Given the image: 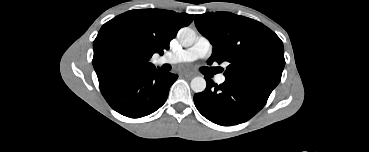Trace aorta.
<instances>
[{"instance_id": "1", "label": "aorta", "mask_w": 369, "mask_h": 152, "mask_svg": "<svg viewBox=\"0 0 369 152\" xmlns=\"http://www.w3.org/2000/svg\"><path fill=\"white\" fill-rule=\"evenodd\" d=\"M177 37L183 46L189 47L194 44L196 33L193 29L184 27L179 30ZM190 86L195 93H200L206 89V81L203 77H194L191 80Z\"/></svg>"}]
</instances>
